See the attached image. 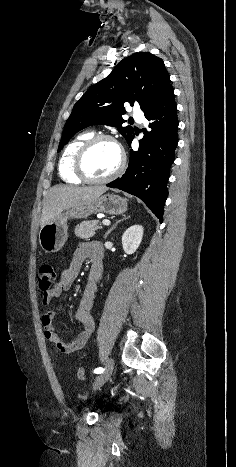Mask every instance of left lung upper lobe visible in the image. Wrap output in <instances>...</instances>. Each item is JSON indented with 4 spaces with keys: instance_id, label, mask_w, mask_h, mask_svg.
<instances>
[{
    "instance_id": "left-lung-upper-lobe-1",
    "label": "left lung upper lobe",
    "mask_w": 236,
    "mask_h": 467,
    "mask_svg": "<svg viewBox=\"0 0 236 467\" xmlns=\"http://www.w3.org/2000/svg\"><path fill=\"white\" fill-rule=\"evenodd\" d=\"M171 87L170 76L161 58L145 52L119 62L105 79L91 87L74 105L68 118L58 152L78 131L95 124L117 127L127 142L134 136L130 126L123 127L124 103H139L148 111Z\"/></svg>"
}]
</instances>
